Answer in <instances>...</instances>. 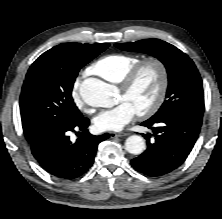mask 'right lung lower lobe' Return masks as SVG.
<instances>
[{
    "mask_svg": "<svg viewBox=\"0 0 222 219\" xmlns=\"http://www.w3.org/2000/svg\"><path fill=\"white\" fill-rule=\"evenodd\" d=\"M90 121L80 116L59 126L34 142H29L36 160L51 175L61 179H75L93 164L98 144L109 137L91 135L87 127ZM81 130L76 142L70 140V132Z\"/></svg>",
    "mask_w": 222,
    "mask_h": 219,
    "instance_id": "98d812e1",
    "label": "right lung lower lobe"
}]
</instances>
